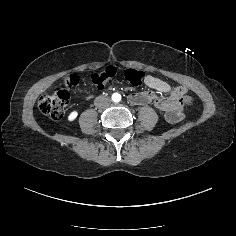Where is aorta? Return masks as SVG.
<instances>
[{"label": "aorta", "instance_id": "762f6f07", "mask_svg": "<svg viewBox=\"0 0 236 236\" xmlns=\"http://www.w3.org/2000/svg\"><path fill=\"white\" fill-rule=\"evenodd\" d=\"M112 100H113L114 102H119V101L121 100V95L118 94V93H114V94L112 95Z\"/></svg>", "mask_w": 236, "mask_h": 236}]
</instances>
